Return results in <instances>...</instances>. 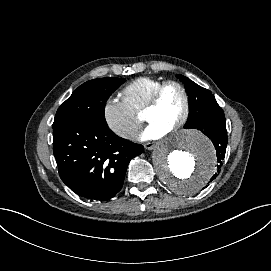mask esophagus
Wrapping results in <instances>:
<instances>
[{
	"instance_id": "34e87169",
	"label": "esophagus",
	"mask_w": 271,
	"mask_h": 271,
	"mask_svg": "<svg viewBox=\"0 0 271 271\" xmlns=\"http://www.w3.org/2000/svg\"><path fill=\"white\" fill-rule=\"evenodd\" d=\"M145 149L152 150L155 147V142H148L144 144Z\"/></svg>"
}]
</instances>
